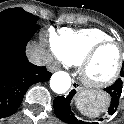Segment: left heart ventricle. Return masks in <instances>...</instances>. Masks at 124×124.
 <instances>
[{"mask_svg": "<svg viewBox=\"0 0 124 124\" xmlns=\"http://www.w3.org/2000/svg\"><path fill=\"white\" fill-rule=\"evenodd\" d=\"M118 61V49L112 45L104 47L89 64L87 76L97 82L106 80L114 73Z\"/></svg>", "mask_w": 124, "mask_h": 124, "instance_id": "obj_1", "label": "left heart ventricle"}]
</instances>
